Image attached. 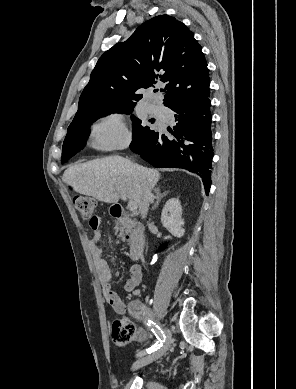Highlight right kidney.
<instances>
[{
    "mask_svg": "<svg viewBox=\"0 0 296 389\" xmlns=\"http://www.w3.org/2000/svg\"><path fill=\"white\" fill-rule=\"evenodd\" d=\"M161 222L172 235L178 238L184 235V220L182 219V207L179 199L171 198L165 203L161 214Z\"/></svg>",
    "mask_w": 296,
    "mask_h": 389,
    "instance_id": "1",
    "label": "right kidney"
}]
</instances>
